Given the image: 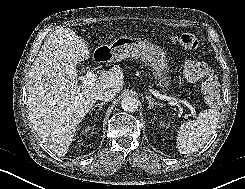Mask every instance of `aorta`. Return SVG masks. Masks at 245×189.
Returning <instances> with one entry per match:
<instances>
[{
    "instance_id": "1",
    "label": "aorta",
    "mask_w": 245,
    "mask_h": 189,
    "mask_svg": "<svg viewBox=\"0 0 245 189\" xmlns=\"http://www.w3.org/2000/svg\"><path fill=\"white\" fill-rule=\"evenodd\" d=\"M139 101L133 96H126L121 101V107L124 111L135 112L138 110Z\"/></svg>"
}]
</instances>
